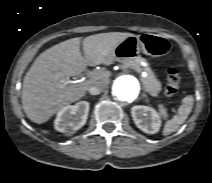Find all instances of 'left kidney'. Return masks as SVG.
I'll use <instances>...</instances> for the list:
<instances>
[{
  "label": "left kidney",
  "mask_w": 212,
  "mask_h": 183,
  "mask_svg": "<svg viewBox=\"0 0 212 183\" xmlns=\"http://www.w3.org/2000/svg\"><path fill=\"white\" fill-rule=\"evenodd\" d=\"M136 126L147 134H155L161 127V117L152 107L136 105L131 109Z\"/></svg>",
  "instance_id": "1"
}]
</instances>
